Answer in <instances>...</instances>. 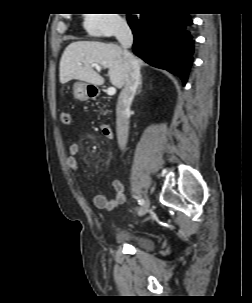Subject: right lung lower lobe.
I'll use <instances>...</instances> for the list:
<instances>
[{
  "label": "right lung lower lobe",
  "instance_id": "1",
  "mask_svg": "<svg viewBox=\"0 0 252 303\" xmlns=\"http://www.w3.org/2000/svg\"><path fill=\"white\" fill-rule=\"evenodd\" d=\"M133 52L152 66L178 75L184 83L192 64V19L183 13L128 15Z\"/></svg>",
  "mask_w": 252,
  "mask_h": 303
}]
</instances>
